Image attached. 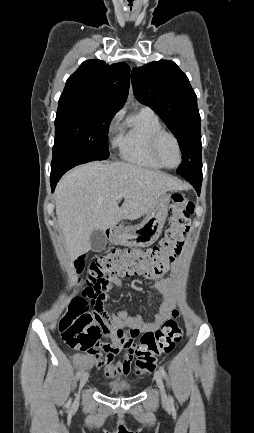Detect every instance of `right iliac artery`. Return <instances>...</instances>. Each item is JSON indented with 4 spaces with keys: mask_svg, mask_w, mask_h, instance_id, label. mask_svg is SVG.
I'll return each instance as SVG.
<instances>
[{
    "mask_svg": "<svg viewBox=\"0 0 254 433\" xmlns=\"http://www.w3.org/2000/svg\"><path fill=\"white\" fill-rule=\"evenodd\" d=\"M81 374H82V372H81V370H79V371L77 372V374H76V378L79 379L80 376H81Z\"/></svg>",
    "mask_w": 254,
    "mask_h": 433,
    "instance_id": "obj_1",
    "label": "right iliac artery"
}]
</instances>
